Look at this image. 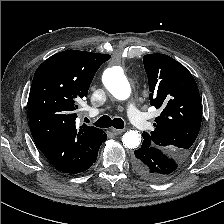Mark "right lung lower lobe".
<instances>
[{
    "label": "right lung lower lobe",
    "instance_id": "right-lung-lower-lobe-1",
    "mask_svg": "<svg viewBox=\"0 0 224 224\" xmlns=\"http://www.w3.org/2000/svg\"><path fill=\"white\" fill-rule=\"evenodd\" d=\"M107 139V136H106V138H105V140ZM104 140V141H105ZM99 150V149H98ZM98 150L94 153V155L92 156V158L85 164V166L83 167V169L80 171V172H83V171H85V170H87V169H89L92 165H93V163L96 161V159H97V156H98ZM79 172V173H80Z\"/></svg>",
    "mask_w": 224,
    "mask_h": 224
}]
</instances>
